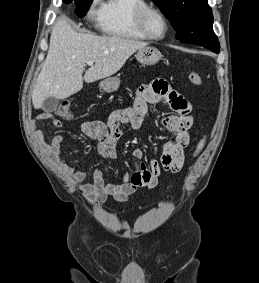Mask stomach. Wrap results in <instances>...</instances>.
<instances>
[{"mask_svg": "<svg viewBox=\"0 0 259 283\" xmlns=\"http://www.w3.org/2000/svg\"><path fill=\"white\" fill-rule=\"evenodd\" d=\"M135 56L137 61L142 65H154L162 57L160 51L157 48L151 46H146L139 49ZM119 86V77H108L99 83L100 89L108 93L117 91Z\"/></svg>", "mask_w": 259, "mask_h": 283, "instance_id": "0dacf381", "label": "stomach"}]
</instances>
